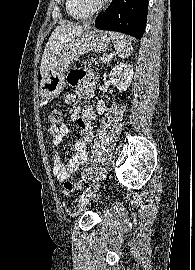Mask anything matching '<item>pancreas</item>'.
Segmentation results:
<instances>
[{
  "label": "pancreas",
  "instance_id": "cf45deb5",
  "mask_svg": "<svg viewBox=\"0 0 195 270\" xmlns=\"http://www.w3.org/2000/svg\"><path fill=\"white\" fill-rule=\"evenodd\" d=\"M107 56H108V55H106V54H102V55L99 56V57H91V61H92L93 63L95 62V64H99V63H104V64H106V63H108L109 61H111V58H108ZM91 61L88 62L89 65H91ZM84 63H86V61H85Z\"/></svg>",
  "mask_w": 195,
  "mask_h": 270
}]
</instances>
